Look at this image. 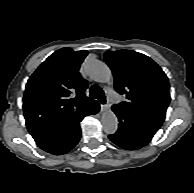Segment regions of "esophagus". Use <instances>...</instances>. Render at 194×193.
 I'll list each match as a JSON object with an SVG mask.
<instances>
[{
    "label": "esophagus",
    "mask_w": 194,
    "mask_h": 193,
    "mask_svg": "<svg viewBox=\"0 0 194 193\" xmlns=\"http://www.w3.org/2000/svg\"><path fill=\"white\" fill-rule=\"evenodd\" d=\"M101 111H106L109 108L108 104H101Z\"/></svg>",
    "instance_id": "1"
}]
</instances>
